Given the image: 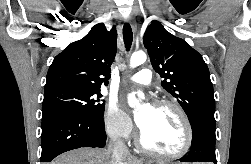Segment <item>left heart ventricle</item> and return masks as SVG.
I'll return each mask as SVG.
<instances>
[{
	"label": "left heart ventricle",
	"mask_w": 251,
	"mask_h": 164,
	"mask_svg": "<svg viewBox=\"0 0 251 164\" xmlns=\"http://www.w3.org/2000/svg\"><path fill=\"white\" fill-rule=\"evenodd\" d=\"M138 118L145 120L141 131L150 147L165 153H175L182 148L185 131L173 109L146 106Z\"/></svg>",
	"instance_id": "obj_1"
}]
</instances>
